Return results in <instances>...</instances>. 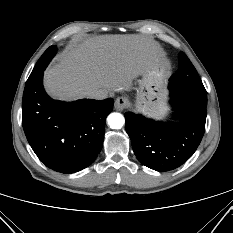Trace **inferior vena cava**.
<instances>
[{"instance_id":"obj_1","label":"inferior vena cava","mask_w":233,"mask_h":233,"mask_svg":"<svg viewBox=\"0 0 233 233\" xmlns=\"http://www.w3.org/2000/svg\"><path fill=\"white\" fill-rule=\"evenodd\" d=\"M90 97L97 100L106 99L108 97V91L106 89H98L92 92Z\"/></svg>"}]
</instances>
